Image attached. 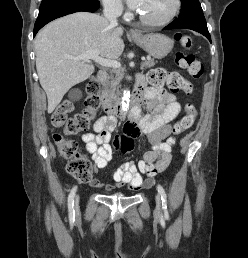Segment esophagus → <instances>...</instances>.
Listing matches in <instances>:
<instances>
[{
	"mask_svg": "<svg viewBox=\"0 0 248 258\" xmlns=\"http://www.w3.org/2000/svg\"><path fill=\"white\" fill-rule=\"evenodd\" d=\"M130 34H137L135 30H130Z\"/></svg>",
	"mask_w": 248,
	"mask_h": 258,
	"instance_id": "1",
	"label": "esophagus"
}]
</instances>
